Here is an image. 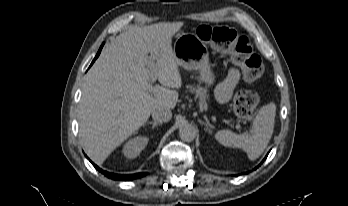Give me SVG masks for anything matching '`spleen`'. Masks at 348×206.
<instances>
[{"mask_svg": "<svg viewBox=\"0 0 348 206\" xmlns=\"http://www.w3.org/2000/svg\"><path fill=\"white\" fill-rule=\"evenodd\" d=\"M276 107L273 103L260 108L250 133L235 134L228 129L220 130L215 139L225 147L243 149L250 160H256L267 148L272 137Z\"/></svg>", "mask_w": 348, "mask_h": 206, "instance_id": "3e777b00", "label": "spleen"}]
</instances>
